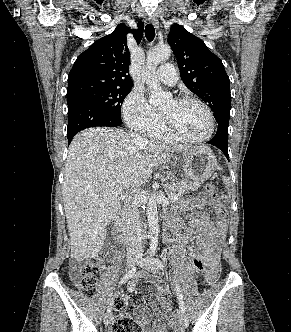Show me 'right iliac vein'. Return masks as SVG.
Masks as SVG:
<instances>
[{
	"instance_id": "right-iliac-vein-1",
	"label": "right iliac vein",
	"mask_w": 291,
	"mask_h": 332,
	"mask_svg": "<svg viewBox=\"0 0 291 332\" xmlns=\"http://www.w3.org/2000/svg\"><path fill=\"white\" fill-rule=\"evenodd\" d=\"M138 262V259L134 256L128 257L127 266L128 268H133L135 264ZM113 315L111 312H108L104 315V323L108 325L112 321Z\"/></svg>"
}]
</instances>
